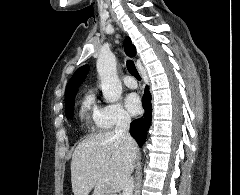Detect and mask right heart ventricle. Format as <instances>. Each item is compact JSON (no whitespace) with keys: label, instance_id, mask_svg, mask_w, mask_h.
Wrapping results in <instances>:
<instances>
[{"label":"right heart ventricle","instance_id":"e07e8e85","mask_svg":"<svg viewBox=\"0 0 240 195\" xmlns=\"http://www.w3.org/2000/svg\"><path fill=\"white\" fill-rule=\"evenodd\" d=\"M99 108L100 106H98L96 98L92 93H89L84 98L80 107V118L83 124L91 131H106L108 129L105 123L98 116Z\"/></svg>","mask_w":240,"mask_h":195}]
</instances>
